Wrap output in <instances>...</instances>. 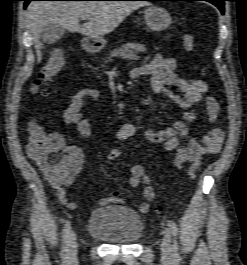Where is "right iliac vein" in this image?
Returning a JSON list of instances; mask_svg holds the SVG:
<instances>
[{
	"label": "right iliac vein",
	"mask_w": 247,
	"mask_h": 265,
	"mask_svg": "<svg viewBox=\"0 0 247 265\" xmlns=\"http://www.w3.org/2000/svg\"><path fill=\"white\" fill-rule=\"evenodd\" d=\"M78 244L77 238L74 231H71L68 238V259L70 261H75L77 258Z\"/></svg>",
	"instance_id": "1"
}]
</instances>
